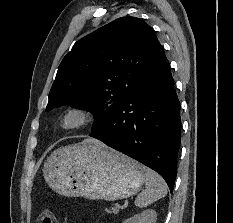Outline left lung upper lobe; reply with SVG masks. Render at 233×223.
Instances as JSON below:
<instances>
[{
  "label": "left lung upper lobe",
  "instance_id": "1",
  "mask_svg": "<svg viewBox=\"0 0 233 223\" xmlns=\"http://www.w3.org/2000/svg\"><path fill=\"white\" fill-rule=\"evenodd\" d=\"M152 28L121 17L77 41L62 60L46 111L71 103L94 114V135L128 100L160 46Z\"/></svg>",
  "mask_w": 233,
  "mask_h": 223
}]
</instances>
